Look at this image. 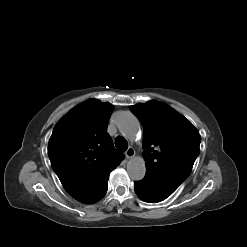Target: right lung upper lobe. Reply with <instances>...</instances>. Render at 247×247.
<instances>
[{
  "label": "right lung upper lobe",
  "mask_w": 247,
  "mask_h": 247,
  "mask_svg": "<svg viewBox=\"0 0 247 247\" xmlns=\"http://www.w3.org/2000/svg\"><path fill=\"white\" fill-rule=\"evenodd\" d=\"M112 110L109 103L89 99L55 125L49 140L52 168L65 190L80 202L93 194L124 158L107 133Z\"/></svg>",
  "instance_id": "right-lung-upper-lobe-1"
}]
</instances>
